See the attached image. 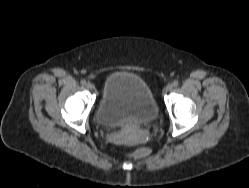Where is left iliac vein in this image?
<instances>
[{"instance_id":"1","label":"left iliac vein","mask_w":249,"mask_h":188,"mask_svg":"<svg viewBox=\"0 0 249 188\" xmlns=\"http://www.w3.org/2000/svg\"><path fill=\"white\" fill-rule=\"evenodd\" d=\"M173 89V85L172 84H167L166 87H165V91L166 92H169Z\"/></svg>"}]
</instances>
